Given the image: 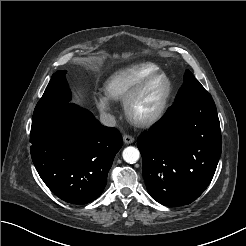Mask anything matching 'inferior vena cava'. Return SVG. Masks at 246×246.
I'll use <instances>...</instances> for the list:
<instances>
[{"instance_id": "602c4592", "label": "inferior vena cava", "mask_w": 246, "mask_h": 246, "mask_svg": "<svg viewBox=\"0 0 246 246\" xmlns=\"http://www.w3.org/2000/svg\"><path fill=\"white\" fill-rule=\"evenodd\" d=\"M100 122L104 126H109V127H114L116 125L115 117L108 113H101Z\"/></svg>"}]
</instances>
